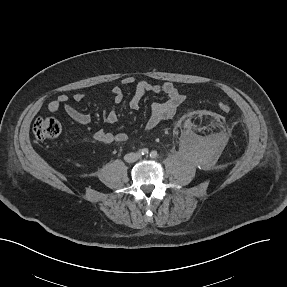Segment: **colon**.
I'll list each match as a JSON object with an SVG mask.
<instances>
[{"label":"colon","mask_w":287,"mask_h":287,"mask_svg":"<svg viewBox=\"0 0 287 287\" xmlns=\"http://www.w3.org/2000/svg\"><path fill=\"white\" fill-rule=\"evenodd\" d=\"M218 108L223 113H228L231 110V106L226 102H220ZM32 132L38 142L55 139L61 133V124L53 117H41L34 121Z\"/></svg>","instance_id":"1"}]
</instances>
